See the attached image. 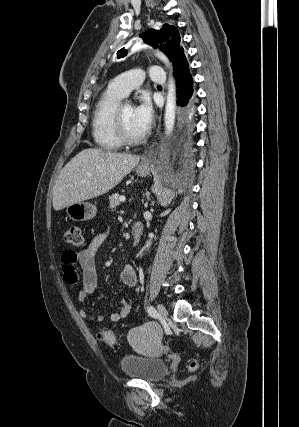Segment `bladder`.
<instances>
[{"mask_svg":"<svg viewBox=\"0 0 299 427\" xmlns=\"http://www.w3.org/2000/svg\"><path fill=\"white\" fill-rule=\"evenodd\" d=\"M124 374L128 377L154 382L165 376L167 363L153 356L124 355L120 359Z\"/></svg>","mask_w":299,"mask_h":427,"instance_id":"obj_1","label":"bladder"}]
</instances>
